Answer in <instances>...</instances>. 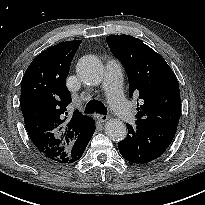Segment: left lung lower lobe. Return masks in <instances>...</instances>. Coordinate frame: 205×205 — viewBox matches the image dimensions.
<instances>
[{
  "label": "left lung lower lobe",
  "instance_id": "0a47b994",
  "mask_svg": "<svg viewBox=\"0 0 205 205\" xmlns=\"http://www.w3.org/2000/svg\"><path fill=\"white\" fill-rule=\"evenodd\" d=\"M127 137L118 143V149L129 162L144 164L160 157L171 144L177 126L165 127L136 121L126 124Z\"/></svg>",
  "mask_w": 205,
  "mask_h": 205
}]
</instances>
